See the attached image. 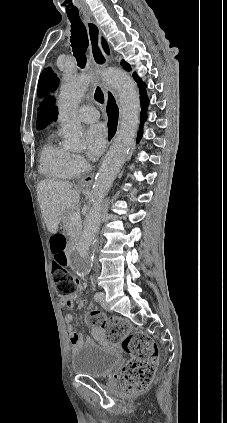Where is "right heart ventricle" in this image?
Wrapping results in <instances>:
<instances>
[{
    "mask_svg": "<svg viewBox=\"0 0 227 423\" xmlns=\"http://www.w3.org/2000/svg\"><path fill=\"white\" fill-rule=\"evenodd\" d=\"M69 155L70 153L65 148L57 146L52 139H49L40 152V173L48 178H68L67 160Z\"/></svg>",
    "mask_w": 227,
    "mask_h": 423,
    "instance_id": "right-heart-ventricle-1",
    "label": "right heart ventricle"
}]
</instances>
